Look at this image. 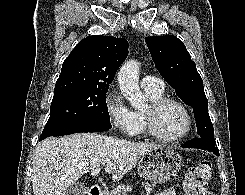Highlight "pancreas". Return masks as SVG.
<instances>
[{"mask_svg": "<svg viewBox=\"0 0 245 195\" xmlns=\"http://www.w3.org/2000/svg\"><path fill=\"white\" fill-rule=\"evenodd\" d=\"M141 186L144 187V189L147 192V195H149L148 193L152 192V190L154 188V185H152L148 182H142ZM127 187H128V185H121V186L116 187L115 189H113L110 192H105L103 195H126V188Z\"/></svg>", "mask_w": 245, "mask_h": 195, "instance_id": "obj_1", "label": "pancreas"}]
</instances>
